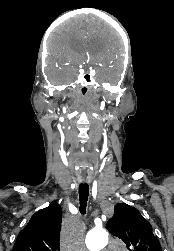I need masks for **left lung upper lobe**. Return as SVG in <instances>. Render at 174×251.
<instances>
[{"instance_id":"5c2ea615","label":"left lung upper lobe","mask_w":174,"mask_h":251,"mask_svg":"<svg viewBox=\"0 0 174 251\" xmlns=\"http://www.w3.org/2000/svg\"><path fill=\"white\" fill-rule=\"evenodd\" d=\"M108 230L122 239L129 251H162L158 239L152 233L151 224L140 212L125 203L114 207V215L108 221Z\"/></svg>"}]
</instances>
